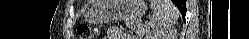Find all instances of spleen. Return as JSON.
Segmentation results:
<instances>
[{
    "mask_svg": "<svg viewBox=\"0 0 249 39\" xmlns=\"http://www.w3.org/2000/svg\"><path fill=\"white\" fill-rule=\"evenodd\" d=\"M154 9L151 26L155 34L167 32L179 17V11L170 0H151Z\"/></svg>",
    "mask_w": 249,
    "mask_h": 39,
    "instance_id": "1",
    "label": "spleen"
}]
</instances>
